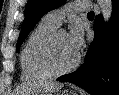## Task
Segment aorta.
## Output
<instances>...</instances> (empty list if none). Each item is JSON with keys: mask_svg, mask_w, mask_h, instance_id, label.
Masks as SVG:
<instances>
[{"mask_svg": "<svg viewBox=\"0 0 119 95\" xmlns=\"http://www.w3.org/2000/svg\"><path fill=\"white\" fill-rule=\"evenodd\" d=\"M101 9V13L105 23H108L112 16V1L111 0H97Z\"/></svg>", "mask_w": 119, "mask_h": 95, "instance_id": "1", "label": "aorta"}]
</instances>
